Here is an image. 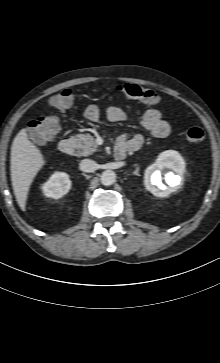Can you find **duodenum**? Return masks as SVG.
<instances>
[{
    "instance_id": "duodenum-1",
    "label": "duodenum",
    "mask_w": 220,
    "mask_h": 363,
    "mask_svg": "<svg viewBox=\"0 0 220 363\" xmlns=\"http://www.w3.org/2000/svg\"><path fill=\"white\" fill-rule=\"evenodd\" d=\"M58 149L62 154L72 155L78 151L77 143L72 138L63 139L58 145ZM114 157L116 160H123L126 158V149L124 147L117 146L114 150Z\"/></svg>"
}]
</instances>
